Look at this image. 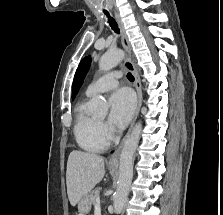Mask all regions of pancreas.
<instances>
[{"label":"pancreas","instance_id":"1","mask_svg":"<svg viewBox=\"0 0 223 215\" xmlns=\"http://www.w3.org/2000/svg\"><path fill=\"white\" fill-rule=\"evenodd\" d=\"M100 189H102V187H95V189H92V191H90L92 193L90 199H93V205L94 203H96V197L97 195H99Z\"/></svg>","mask_w":223,"mask_h":215}]
</instances>
